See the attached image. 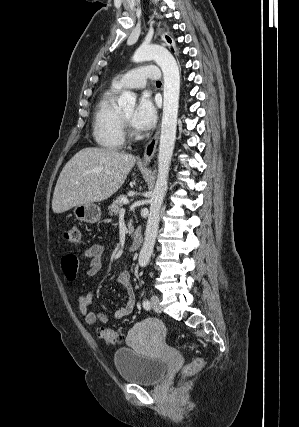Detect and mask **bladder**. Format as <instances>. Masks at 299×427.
I'll use <instances>...</instances> for the list:
<instances>
[{"instance_id":"31cf9c89","label":"bladder","mask_w":299,"mask_h":427,"mask_svg":"<svg viewBox=\"0 0 299 427\" xmlns=\"http://www.w3.org/2000/svg\"><path fill=\"white\" fill-rule=\"evenodd\" d=\"M115 368L122 380L139 385L158 384L167 373L166 364L131 348L117 349L113 356Z\"/></svg>"}]
</instances>
